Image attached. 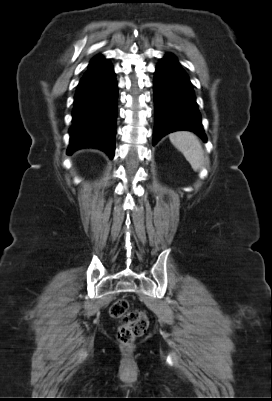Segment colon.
<instances>
[{"mask_svg":"<svg viewBox=\"0 0 272 401\" xmlns=\"http://www.w3.org/2000/svg\"><path fill=\"white\" fill-rule=\"evenodd\" d=\"M109 313L113 318L122 320V325L118 330V339L125 347H129L148 328L149 321L145 312L139 309H130L128 301L124 298L114 301L110 306Z\"/></svg>","mask_w":272,"mask_h":401,"instance_id":"5ec220e1","label":"colon"}]
</instances>
